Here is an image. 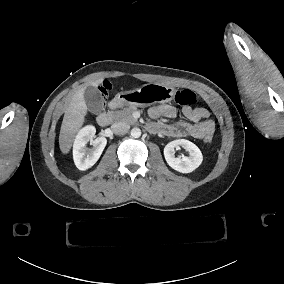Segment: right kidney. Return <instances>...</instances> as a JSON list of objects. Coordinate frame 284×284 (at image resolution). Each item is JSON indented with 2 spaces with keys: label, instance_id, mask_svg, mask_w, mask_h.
Returning <instances> with one entry per match:
<instances>
[{
  "label": "right kidney",
  "instance_id": "obj_1",
  "mask_svg": "<svg viewBox=\"0 0 284 284\" xmlns=\"http://www.w3.org/2000/svg\"><path fill=\"white\" fill-rule=\"evenodd\" d=\"M95 132L94 127H86L79 132L75 140L73 155L79 170L85 171L94 166L106 146V138L96 137ZM89 143H93L92 148L87 147Z\"/></svg>",
  "mask_w": 284,
  "mask_h": 284
}]
</instances>
